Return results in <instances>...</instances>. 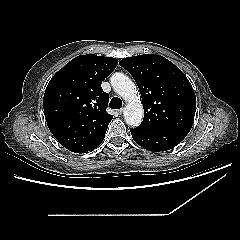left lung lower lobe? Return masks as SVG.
<instances>
[{
  "instance_id": "0a47b994",
  "label": "left lung lower lobe",
  "mask_w": 240,
  "mask_h": 240,
  "mask_svg": "<svg viewBox=\"0 0 240 240\" xmlns=\"http://www.w3.org/2000/svg\"><path fill=\"white\" fill-rule=\"evenodd\" d=\"M130 132L138 145L153 152L172 149L189 133L182 129L150 130L140 127L130 129Z\"/></svg>"
}]
</instances>
